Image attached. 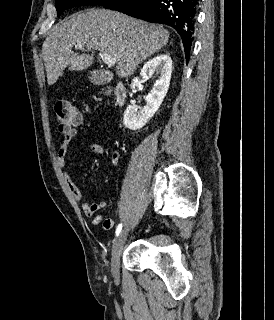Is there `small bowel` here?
Segmentation results:
<instances>
[{
	"label": "small bowel",
	"mask_w": 274,
	"mask_h": 320,
	"mask_svg": "<svg viewBox=\"0 0 274 320\" xmlns=\"http://www.w3.org/2000/svg\"><path fill=\"white\" fill-rule=\"evenodd\" d=\"M85 124H86V121L84 119H75L74 120L75 127L64 132L61 145L57 150V155H56L57 164L59 169L62 171L64 175L69 191L71 192L75 200L81 203V207L84 215L86 217L91 218L93 224L95 225L102 224L104 229H110L113 226V220L109 218H104L102 214L98 213L106 207V202L104 200H98L93 203L87 202L84 199V194L82 190L73 181L66 166V157L68 154L69 145L77 137L79 133V129L81 131H84L86 129ZM90 148L94 153H97L100 155L104 154L103 147H101L97 143H92ZM120 158H121L120 152L115 151L112 155V163L114 166L116 167L119 166ZM84 166L85 165L83 163L78 164L79 168H84Z\"/></svg>",
	"instance_id": "1"
}]
</instances>
